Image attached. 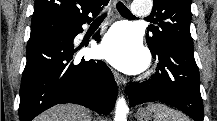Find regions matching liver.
Instances as JSON below:
<instances>
[{
    "label": "liver",
    "instance_id": "6515ba94",
    "mask_svg": "<svg viewBox=\"0 0 217 121\" xmlns=\"http://www.w3.org/2000/svg\"><path fill=\"white\" fill-rule=\"evenodd\" d=\"M34 121H91V114L80 105L63 104L50 108Z\"/></svg>",
    "mask_w": 217,
    "mask_h": 121
}]
</instances>
